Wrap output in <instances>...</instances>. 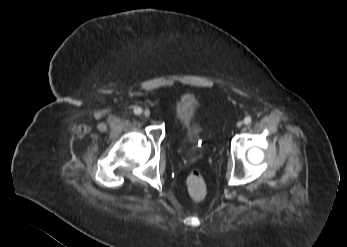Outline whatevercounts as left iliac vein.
<instances>
[{"instance_id":"1","label":"left iliac vein","mask_w":347,"mask_h":247,"mask_svg":"<svg viewBox=\"0 0 347 247\" xmlns=\"http://www.w3.org/2000/svg\"><path fill=\"white\" fill-rule=\"evenodd\" d=\"M243 125V122L242 121H238L237 122V127H241Z\"/></svg>"}]
</instances>
